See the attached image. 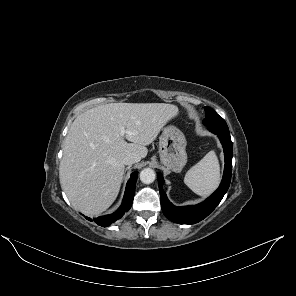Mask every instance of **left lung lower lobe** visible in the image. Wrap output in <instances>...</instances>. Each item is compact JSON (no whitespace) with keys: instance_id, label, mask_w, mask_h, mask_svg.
I'll return each instance as SVG.
<instances>
[{"instance_id":"obj_1","label":"left lung lower lobe","mask_w":296,"mask_h":296,"mask_svg":"<svg viewBox=\"0 0 296 296\" xmlns=\"http://www.w3.org/2000/svg\"><path fill=\"white\" fill-rule=\"evenodd\" d=\"M208 129L217 134L224 149L225 169L222 182L219 188L204 202L193 206H174L166 196L163 190L164 180L161 174H158V184L161 196V207L164 215L171 221L179 224H195L207 217L220 203L227 192L232 171V141L228 126H208Z\"/></svg>"}]
</instances>
